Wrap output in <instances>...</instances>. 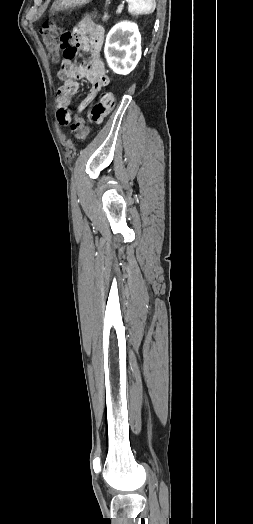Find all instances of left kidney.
Listing matches in <instances>:
<instances>
[{"mask_svg":"<svg viewBox=\"0 0 253 524\" xmlns=\"http://www.w3.org/2000/svg\"><path fill=\"white\" fill-rule=\"evenodd\" d=\"M104 54L109 67L120 75L129 74L141 58V35L135 23L121 22L107 34Z\"/></svg>","mask_w":253,"mask_h":524,"instance_id":"1","label":"left kidney"}]
</instances>
